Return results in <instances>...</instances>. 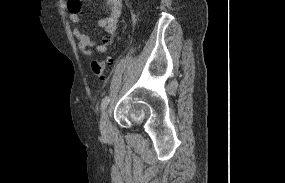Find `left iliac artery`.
I'll return each mask as SVG.
<instances>
[{"instance_id": "44dca946", "label": "left iliac artery", "mask_w": 285, "mask_h": 183, "mask_svg": "<svg viewBox=\"0 0 285 183\" xmlns=\"http://www.w3.org/2000/svg\"><path fill=\"white\" fill-rule=\"evenodd\" d=\"M109 101H110V97H109V96H106V97H104V98L102 99V102H101V110H102V111L106 109V107H107Z\"/></svg>"}]
</instances>
